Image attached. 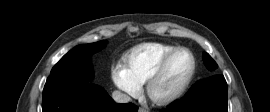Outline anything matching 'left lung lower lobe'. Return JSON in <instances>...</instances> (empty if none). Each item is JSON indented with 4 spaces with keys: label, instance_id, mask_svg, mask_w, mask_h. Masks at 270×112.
Masks as SVG:
<instances>
[{
    "label": "left lung lower lobe",
    "instance_id": "left-lung-lower-lobe-1",
    "mask_svg": "<svg viewBox=\"0 0 270 112\" xmlns=\"http://www.w3.org/2000/svg\"><path fill=\"white\" fill-rule=\"evenodd\" d=\"M227 89L222 75L209 77L160 112H228Z\"/></svg>",
    "mask_w": 270,
    "mask_h": 112
}]
</instances>
